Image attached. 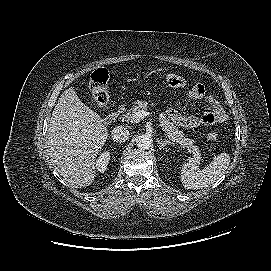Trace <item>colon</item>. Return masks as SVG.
Here are the masks:
<instances>
[{
    "label": "colon",
    "instance_id": "obj_1",
    "mask_svg": "<svg viewBox=\"0 0 271 271\" xmlns=\"http://www.w3.org/2000/svg\"><path fill=\"white\" fill-rule=\"evenodd\" d=\"M165 80L173 88H184L187 86L186 79L177 74H168ZM107 82L108 73L104 69H97L90 77L89 86L92 92V101L96 107H103L108 102ZM208 137L213 140L216 138V133L211 132Z\"/></svg>",
    "mask_w": 271,
    "mask_h": 271
}]
</instances>
